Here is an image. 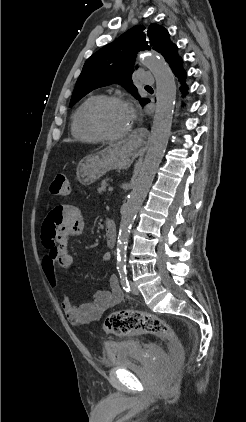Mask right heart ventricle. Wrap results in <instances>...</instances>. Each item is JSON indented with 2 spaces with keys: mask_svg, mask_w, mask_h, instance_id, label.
I'll return each mask as SVG.
<instances>
[{
  "mask_svg": "<svg viewBox=\"0 0 246 422\" xmlns=\"http://www.w3.org/2000/svg\"><path fill=\"white\" fill-rule=\"evenodd\" d=\"M99 95L87 97L74 111L71 119V132L75 139L87 142L97 143L101 141L89 128L86 121V114L89 107L99 98Z\"/></svg>",
  "mask_w": 246,
  "mask_h": 422,
  "instance_id": "1",
  "label": "right heart ventricle"
}]
</instances>
